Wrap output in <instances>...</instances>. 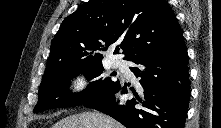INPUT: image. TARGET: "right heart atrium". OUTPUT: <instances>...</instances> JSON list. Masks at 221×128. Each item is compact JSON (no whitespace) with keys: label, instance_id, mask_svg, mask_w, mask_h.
<instances>
[{"label":"right heart atrium","instance_id":"1","mask_svg":"<svg viewBox=\"0 0 221 128\" xmlns=\"http://www.w3.org/2000/svg\"><path fill=\"white\" fill-rule=\"evenodd\" d=\"M84 85H85V78L84 77H82V76L75 77L70 82L69 91L71 93H78L84 88Z\"/></svg>","mask_w":221,"mask_h":128}]
</instances>
